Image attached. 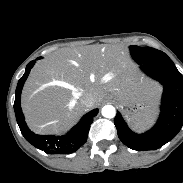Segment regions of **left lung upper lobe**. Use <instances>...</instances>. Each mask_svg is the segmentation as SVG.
I'll return each mask as SVG.
<instances>
[{
	"label": "left lung upper lobe",
	"instance_id": "5c2ea615",
	"mask_svg": "<svg viewBox=\"0 0 183 183\" xmlns=\"http://www.w3.org/2000/svg\"><path fill=\"white\" fill-rule=\"evenodd\" d=\"M130 53L138 64L153 63L170 59L164 52L151 47L130 46Z\"/></svg>",
	"mask_w": 183,
	"mask_h": 183
}]
</instances>
